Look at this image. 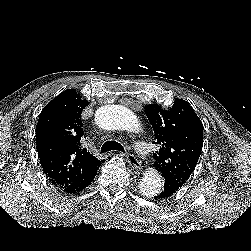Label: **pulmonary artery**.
<instances>
[{
    "mask_svg": "<svg viewBox=\"0 0 251 251\" xmlns=\"http://www.w3.org/2000/svg\"><path fill=\"white\" fill-rule=\"evenodd\" d=\"M140 148H139V146H137V150H139Z\"/></svg>",
    "mask_w": 251,
    "mask_h": 251,
    "instance_id": "e3ab8cb5",
    "label": "pulmonary artery"
}]
</instances>
